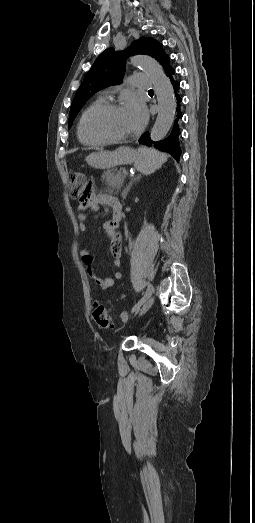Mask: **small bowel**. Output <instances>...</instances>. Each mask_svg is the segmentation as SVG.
Here are the masks:
<instances>
[{"label":"small bowel","mask_w":255,"mask_h":523,"mask_svg":"<svg viewBox=\"0 0 255 523\" xmlns=\"http://www.w3.org/2000/svg\"><path fill=\"white\" fill-rule=\"evenodd\" d=\"M108 196L106 195H94L91 192L89 193V197L85 200H80V203L78 205V210L81 212L78 215V225L79 230L82 234L86 233L87 226V215L85 214V211L87 209L92 210H98L100 204H107ZM108 205V204H107ZM103 229L108 235L110 239V252L114 258L113 264L115 267H120L121 265V257H122V247H121V240L117 229V224L114 221H106L103 224ZM79 255L81 257L82 262L86 266V272L89 276L90 280L97 286H99L101 289L106 290L111 288L114 285V278L106 277L101 278L96 273V270L93 265V258L90 255V252L86 248H81L79 250ZM115 279H120L122 277L121 271H116L114 274Z\"/></svg>","instance_id":"1"}]
</instances>
